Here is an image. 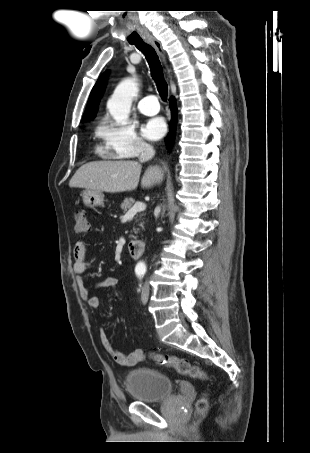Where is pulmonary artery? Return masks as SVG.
Instances as JSON below:
<instances>
[{
	"label": "pulmonary artery",
	"mask_w": 310,
	"mask_h": 453,
	"mask_svg": "<svg viewBox=\"0 0 310 453\" xmlns=\"http://www.w3.org/2000/svg\"><path fill=\"white\" fill-rule=\"evenodd\" d=\"M138 109L142 114L155 115L159 112L160 106L156 96L148 95L143 97L138 103Z\"/></svg>",
	"instance_id": "pulmonary-artery-1"
}]
</instances>
